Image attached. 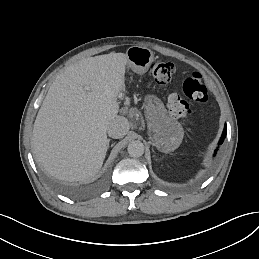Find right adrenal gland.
<instances>
[{
	"label": "right adrenal gland",
	"mask_w": 259,
	"mask_h": 259,
	"mask_svg": "<svg viewBox=\"0 0 259 259\" xmlns=\"http://www.w3.org/2000/svg\"><path fill=\"white\" fill-rule=\"evenodd\" d=\"M107 145H109V140L107 141Z\"/></svg>",
	"instance_id": "2a0ac1e0"
}]
</instances>
